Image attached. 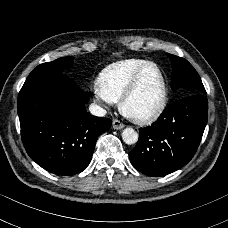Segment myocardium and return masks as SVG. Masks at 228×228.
Here are the masks:
<instances>
[{
    "label": "myocardium",
    "instance_id": "obj_1",
    "mask_svg": "<svg viewBox=\"0 0 228 228\" xmlns=\"http://www.w3.org/2000/svg\"><path fill=\"white\" fill-rule=\"evenodd\" d=\"M149 68H155L161 76L162 79V102L159 108L153 112L152 114L146 115V116H137L133 115L132 113L129 112L128 110V103L131 100V98L136 94L141 80L144 76V74L147 72ZM168 106V84H167V79L165 76V73L163 69L156 63H150L143 68H141L134 78L132 79L129 87L123 94L122 98L120 99V110L122 114L127 117L128 119L132 120L135 123L142 124V125H147L151 124L155 121H157L166 111V108Z\"/></svg>",
    "mask_w": 228,
    "mask_h": 228
}]
</instances>
